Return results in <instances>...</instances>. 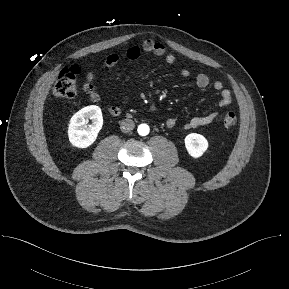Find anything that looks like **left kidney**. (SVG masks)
<instances>
[{
  "instance_id": "1",
  "label": "left kidney",
  "mask_w": 289,
  "mask_h": 289,
  "mask_svg": "<svg viewBox=\"0 0 289 289\" xmlns=\"http://www.w3.org/2000/svg\"><path fill=\"white\" fill-rule=\"evenodd\" d=\"M184 141H185V147L188 153L193 158L201 157L208 148V141L201 134H197V133L188 134L185 137Z\"/></svg>"
}]
</instances>
